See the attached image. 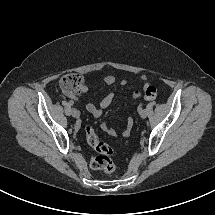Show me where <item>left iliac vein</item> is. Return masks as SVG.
Listing matches in <instances>:
<instances>
[{"mask_svg":"<svg viewBox=\"0 0 215 215\" xmlns=\"http://www.w3.org/2000/svg\"><path fill=\"white\" fill-rule=\"evenodd\" d=\"M140 116H141L142 118H146V116H147L146 110H143V112L140 113Z\"/></svg>","mask_w":215,"mask_h":215,"instance_id":"4c4485c4","label":"left iliac vein"}]
</instances>
